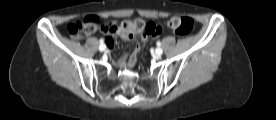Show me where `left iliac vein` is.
I'll return each instance as SVG.
<instances>
[{
  "instance_id": "left-iliac-vein-1",
  "label": "left iliac vein",
  "mask_w": 276,
  "mask_h": 120,
  "mask_svg": "<svg viewBox=\"0 0 276 120\" xmlns=\"http://www.w3.org/2000/svg\"><path fill=\"white\" fill-rule=\"evenodd\" d=\"M155 52H156V55H157V56H161L162 53H163V50H162V48L158 47V48L155 50Z\"/></svg>"
}]
</instances>
